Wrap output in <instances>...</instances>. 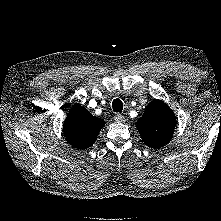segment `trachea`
I'll return each mask as SVG.
<instances>
[{
    "label": "trachea",
    "instance_id": "trachea-1",
    "mask_svg": "<svg viewBox=\"0 0 221 221\" xmlns=\"http://www.w3.org/2000/svg\"><path fill=\"white\" fill-rule=\"evenodd\" d=\"M112 108L114 112H122L123 110V103L119 99H114L112 102Z\"/></svg>",
    "mask_w": 221,
    "mask_h": 221
}]
</instances>
